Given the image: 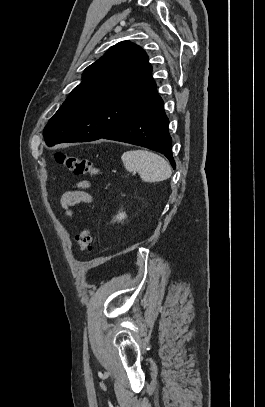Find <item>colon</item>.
Instances as JSON below:
<instances>
[{"label": "colon", "instance_id": "1", "mask_svg": "<svg viewBox=\"0 0 265 407\" xmlns=\"http://www.w3.org/2000/svg\"><path fill=\"white\" fill-rule=\"evenodd\" d=\"M55 161L75 175H91L96 176L100 173V168L90 159L79 157L77 155L68 154L65 152L54 153ZM78 249L84 252L90 249L92 245L91 226L86 223L80 233L76 237Z\"/></svg>", "mask_w": 265, "mask_h": 407}]
</instances>
